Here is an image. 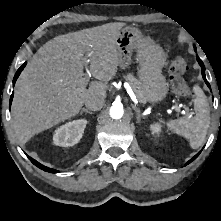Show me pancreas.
I'll use <instances>...</instances> for the list:
<instances>
[{"label": "pancreas", "mask_w": 221, "mask_h": 221, "mask_svg": "<svg viewBox=\"0 0 221 221\" xmlns=\"http://www.w3.org/2000/svg\"><path fill=\"white\" fill-rule=\"evenodd\" d=\"M126 81L130 84V86L133 88L137 98L140 101H144V96L142 94L141 88H140V83L139 81L133 76V74H128L125 77Z\"/></svg>", "instance_id": "cf45deb5"}]
</instances>
